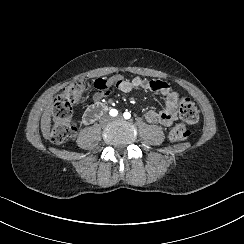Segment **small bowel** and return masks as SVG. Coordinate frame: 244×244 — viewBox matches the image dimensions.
<instances>
[{
	"label": "small bowel",
	"mask_w": 244,
	"mask_h": 244,
	"mask_svg": "<svg viewBox=\"0 0 244 244\" xmlns=\"http://www.w3.org/2000/svg\"><path fill=\"white\" fill-rule=\"evenodd\" d=\"M94 88L95 92L92 95V100L95 104L102 102L114 89L123 93L137 89H145L159 93L163 97V109L159 112L152 108L149 109L145 114L146 121L149 124L161 125L167 128L177 118L176 106L178 93L167 82L161 80L148 81L139 77L129 79L118 74L107 79L96 80ZM83 122L87 124L92 122L89 109L83 115Z\"/></svg>",
	"instance_id": "1"
}]
</instances>
